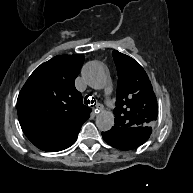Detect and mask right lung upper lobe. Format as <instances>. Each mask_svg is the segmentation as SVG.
<instances>
[{
    "label": "right lung upper lobe",
    "mask_w": 193,
    "mask_h": 193,
    "mask_svg": "<svg viewBox=\"0 0 193 193\" xmlns=\"http://www.w3.org/2000/svg\"><path fill=\"white\" fill-rule=\"evenodd\" d=\"M83 55L55 56L28 78L17 99L21 128L39 149L56 152L77 139L91 109L82 103L74 81Z\"/></svg>",
    "instance_id": "obj_1"
}]
</instances>
